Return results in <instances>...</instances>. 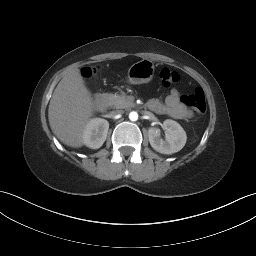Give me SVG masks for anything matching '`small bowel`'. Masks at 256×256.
I'll use <instances>...</instances> for the list:
<instances>
[{
    "label": "small bowel",
    "instance_id": "c3829d8e",
    "mask_svg": "<svg viewBox=\"0 0 256 256\" xmlns=\"http://www.w3.org/2000/svg\"><path fill=\"white\" fill-rule=\"evenodd\" d=\"M148 107L158 114L174 119L185 120L192 116V112L181 102L176 89H172L164 101L157 99L149 101Z\"/></svg>",
    "mask_w": 256,
    "mask_h": 256
}]
</instances>
